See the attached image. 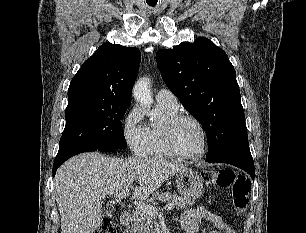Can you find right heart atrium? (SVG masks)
<instances>
[{
	"instance_id": "1",
	"label": "right heart atrium",
	"mask_w": 306,
	"mask_h": 233,
	"mask_svg": "<svg viewBox=\"0 0 306 233\" xmlns=\"http://www.w3.org/2000/svg\"><path fill=\"white\" fill-rule=\"evenodd\" d=\"M122 134L133 155L137 157L149 155L150 131L138 107H133L126 114L122 124Z\"/></svg>"
}]
</instances>
